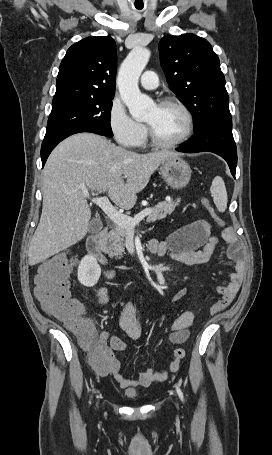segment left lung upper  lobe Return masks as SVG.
Wrapping results in <instances>:
<instances>
[{
	"label": "left lung upper lobe",
	"mask_w": 272,
	"mask_h": 455,
	"mask_svg": "<svg viewBox=\"0 0 272 455\" xmlns=\"http://www.w3.org/2000/svg\"><path fill=\"white\" fill-rule=\"evenodd\" d=\"M159 51L169 88L193 115L195 132L231 120L220 61L206 39L191 33L166 35Z\"/></svg>",
	"instance_id": "obj_1"
}]
</instances>
